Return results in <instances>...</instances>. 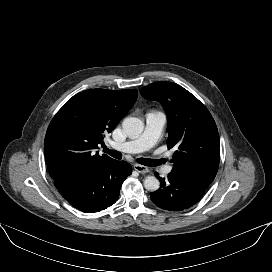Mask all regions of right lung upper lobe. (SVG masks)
<instances>
[{"label": "right lung upper lobe", "mask_w": 272, "mask_h": 272, "mask_svg": "<svg viewBox=\"0 0 272 272\" xmlns=\"http://www.w3.org/2000/svg\"><path fill=\"white\" fill-rule=\"evenodd\" d=\"M136 99L137 91L133 89H91L70 98L46 132L44 153L50 176L56 180L84 173L110 159L95 150Z\"/></svg>", "instance_id": "cb5924a9"}]
</instances>
